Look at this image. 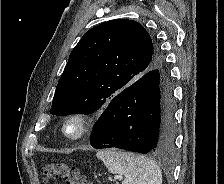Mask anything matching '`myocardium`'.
Segmentation results:
<instances>
[{
  "mask_svg": "<svg viewBox=\"0 0 224 184\" xmlns=\"http://www.w3.org/2000/svg\"><path fill=\"white\" fill-rule=\"evenodd\" d=\"M91 125L92 120L87 114L75 112L65 118L61 131L65 139L71 142H77L87 136ZM71 127H74L72 132L70 131Z\"/></svg>",
  "mask_w": 224,
  "mask_h": 184,
  "instance_id": "myocardium-1",
  "label": "myocardium"
}]
</instances>
